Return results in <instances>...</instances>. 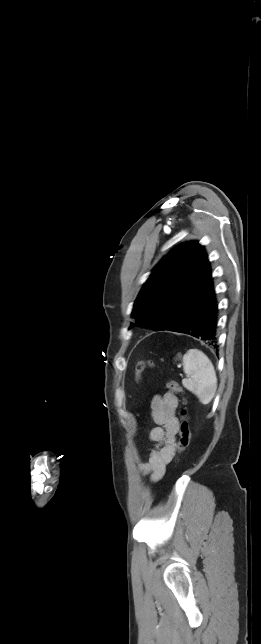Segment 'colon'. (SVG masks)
Masks as SVG:
<instances>
[{
    "label": "colon",
    "instance_id": "obj_1",
    "mask_svg": "<svg viewBox=\"0 0 261 644\" xmlns=\"http://www.w3.org/2000/svg\"><path fill=\"white\" fill-rule=\"evenodd\" d=\"M153 366L151 361H141L136 366V374L138 377L141 376L146 367ZM167 387L173 392H180L181 388L177 381L168 380L166 383ZM191 441V430L189 424V418L187 411L183 409L181 411V422L179 424V443H178V453H183L189 446Z\"/></svg>",
    "mask_w": 261,
    "mask_h": 644
}]
</instances>
